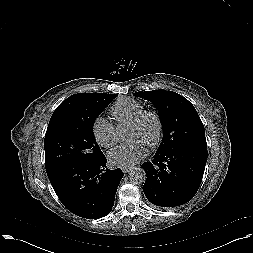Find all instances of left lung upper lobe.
Returning a JSON list of instances; mask_svg holds the SVG:
<instances>
[{"label": "left lung upper lobe", "instance_id": "left-lung-upper-lobe-1", "mask_svg": "<svg viewBox=\"0 0 253 253\" xmlns=\"http://www.w3.org/2000/svg\"><path fill=\"white\" fill-rule=\"evenodd\" d=\"M135 96L152 102L159 111L163 139L157 153L185 144L207 148L203 123L186 98L166 90L139 91Z\"/></svg>", "mask_w": 253, "mask_h": 253}]
</instances>
